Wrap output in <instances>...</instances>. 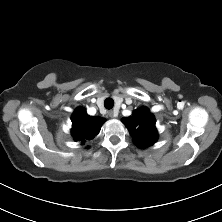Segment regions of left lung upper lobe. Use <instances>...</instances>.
Returning <instances> with one entry per match:
<instances>
[{
	"mask_svg": "<svg viewBox=\"0 0 222 222\" xmlns=\"http://www.w3.org/2000/svg\"><path fill=\"white\" fill-rule=\"evenodd\" d=\"M122 121L128 130L133 131V141L138 147L146 148L157 141L155 118L148 108L136 109L132 116L123 118Z\"/></svg>",
	"mask_w": 222,
	"mask_h": 222,
	"instance_id": "left-lung-upper-lobe-1",
	"label": "left lung upper lobe"
}]
</instances>
